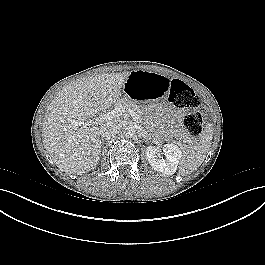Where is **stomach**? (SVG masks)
<instances>
[{
  "instance_id": "1",
  "label": "stomach",
  "mask_w": 265,
  "mask_h": 265,
  "mask_svg": "<svg viewBox=\"0 0 265 265\" xmlns=\"http://www.w3.org/2000/svg\"><path fill=\"white\" fill-rule=\"evenodd\" d=\"M169 80L152 71H133L129 74L123 92L131 97L137 110L145 117L160 116L167 108L166 91Z\"/></svg>"
}]
</instances>
